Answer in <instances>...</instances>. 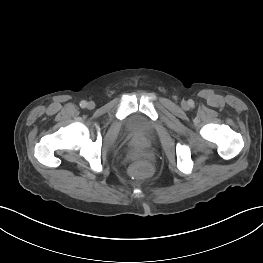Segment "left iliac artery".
Returning <instances> with one entry per match:
<instances>
[{"instance_id":"44dca946","label":"left iliac artery","mask_w":263,"mask_h":263,"mask_svg":"<svg viewBox=\"0 0 263 263\" xmlns=\"http://www.w3.org/2000/svg\"><path fill=\"white\" fill-rule=\"evenodd\" d=\"M190 105H191V106L193 105V102H192V101L190 102Z\"/></svg>"}]
</instances>
